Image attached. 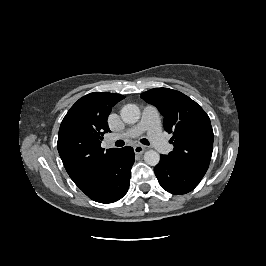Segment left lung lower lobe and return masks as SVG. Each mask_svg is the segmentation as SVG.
<instances>
[{
	"mask_svg": "<svg viewBox=\"0 0 266 266\" xmlns=\"http://www.w3.org/2000/svg\"><path fill=\"white\" fill-rule=\"evenodd\" d=\"M207 170L185 169L174 165L164 155L155 166L156 177L167 192L172 194H185L193 190L201 181Z\"/></svg>",
	"mask_w": 266,
	"mask_h": 266,
	"instance_id": "0a47b994",
	"label": "left lung lower lobe"
}]
</instances>
